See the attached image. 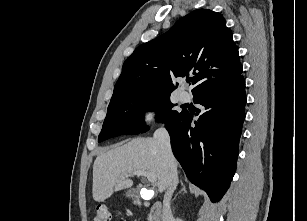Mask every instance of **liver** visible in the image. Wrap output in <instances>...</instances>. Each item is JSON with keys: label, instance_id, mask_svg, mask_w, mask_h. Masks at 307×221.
<instances>
[{"label": "liver", "instance_id": "liver-1", "mask_svg": "<svg viewBox=\"0 0 307 221\" xmlns=\"http://www.w3.org/2000/svg\"><path fill=\"white\" fill-rule=\"evenodd\" d=\"M137 170L156 175L158 191L164 192L169 181V162L163 146L154 138H135L100 153L93 166V199L103 202L114 192L130 188L128 176Z\"/></svg>", "mask_w": 307, "mask_h": 221}]
</instances>
